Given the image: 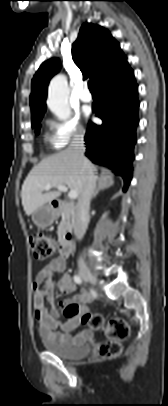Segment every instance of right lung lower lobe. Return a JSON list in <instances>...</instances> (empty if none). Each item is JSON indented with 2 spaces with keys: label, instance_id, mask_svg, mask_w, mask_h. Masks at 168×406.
Wrapping results in <instances>:
<instances>
[{
  "label": "right lung lower lobe",
  "instance_id": "1",
  "mask_svg": "<svg viewBox=\"0 0 168 406\" xmlns=\"http://www.w3.org/2000/svg\"><path fill=\"white\" fill-rule=\"evenodd\" d=\"M98 103L93 112L102 125L89 123L85 135V155L96 164L113 169L124 179V191L132 179L133 147L138 125V86L128 66L98 87Z\"/></svg>",
  "mask_w": 168,
  "mask_h": 406
}]
</instances>
